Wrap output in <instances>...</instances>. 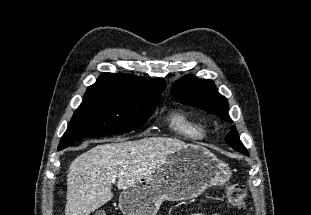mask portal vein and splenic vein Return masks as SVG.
Returning a JSON list of instances; mask_svg holds the SVG:
<instances>
[{
    "label": "portal vein and splenic vein",
    "instance_id": "1",
    "mask_svg": "<svg viewBox=\"0 0 311 215\" xmlns=\"http://www.w3.org/2000/svg\"><path fill=\"white\" fill-rule=\"evenodd\" d=\"M117 176L118 175H114L112 181H115Z\"/></svg>",
    "mask_w": 311,
    "mask_h": 215
}]
</instances>
